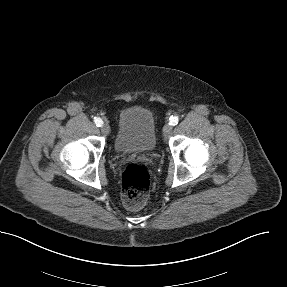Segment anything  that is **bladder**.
<instances>
[{
  "mask_svg": "<svg viewBox=\"0 0 287 287\" xmlns=\"http://www.w3.org/2000/svg\"><path fill=\"white\" fill-rule=\"evenodd\" d=\"M156 147L155 120L152 112L141 106L121 110L114 140L119 154L150 153Z\"/></svg>",
  "mask_w": 287,
  "mask_h": 287,
  "instance_id": "1",
  "label": "bladder"
}]
</instances>
